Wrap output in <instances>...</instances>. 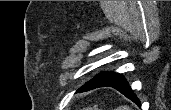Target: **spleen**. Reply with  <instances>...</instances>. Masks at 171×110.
Here are the masks:
<instances>
[{
    "label": "spleen",
    "mask_w": 171,
    "mask_h": 110,
    "mask_svg": "<svg viewBox=\"0 0 171 110\" xmlns=\"http://www.w3.org/2000/svg\"><path fill=\"white\" fill-rule=\"evenodd\" d=\"M117 110H131V108L130 107H128V106H126V105H124V106H120V107H118V109Z\"/></svg>",
    "instance_id": "1"
}]
</instances>
